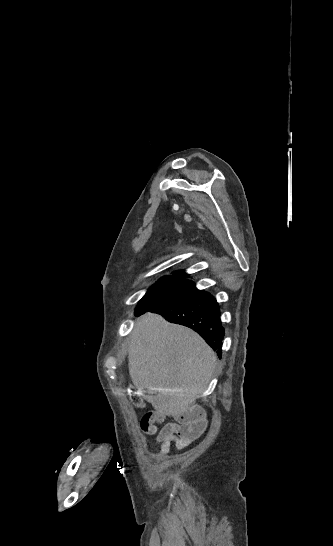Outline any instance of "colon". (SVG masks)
Returning a JSON list of instances; mask_svg holds the SVG:
<instances>
[{
    "label": "colon",
    "mask_w": 333,
    "mask_h": 546,
    "mask_svg": "<svg viewBox=\"0 0 333 546\" xmlns=\"http://www.w3.org/2000/svg\"><path fill=\"white\" fill-rule=\"evenodd\" d=\"M133 400H134V404L137 407H143V401L141 398H139L138 396H134ZM155 423H156L155 415L150 412L143 415L140 420L141 429L146 433H154Z\"/></svg>",
    "instance_id": "obj_1"
}]
</instances>
